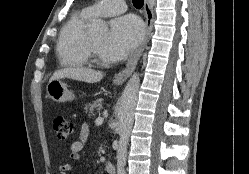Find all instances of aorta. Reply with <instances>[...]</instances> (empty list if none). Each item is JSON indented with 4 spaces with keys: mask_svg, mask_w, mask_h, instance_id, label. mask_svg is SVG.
I'll use <instances>...</instances> for the list:
<instances>
[{
    "mask_svg": "<svg viewBox=\"0 0 249 174\" xmlns=\"http://www.w3.org/2000/svg\"><path fill=\"white\" fill-rule=\"evenodd\" d=\"M107 28L106 23L101 19L93 20L91 31L102 32ZM140 87V78L138 73H134L129 79L122 93L121 103L118 111V133L120 136L117 150V174H125L124 167L127 157V145L131 133L134 111L137 103L138 92Z\"/></svg>",
    "mask_w": 249,
    "mask_h": 174,
    "instance_id": "1",
    "label": "aorta"
}]
</instances>
